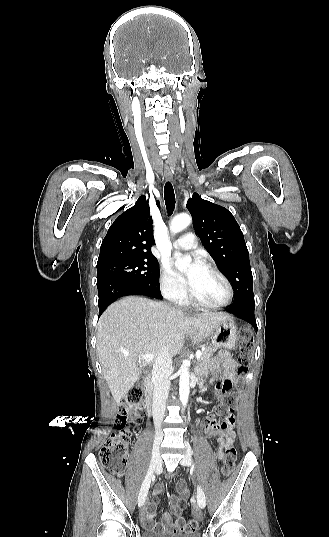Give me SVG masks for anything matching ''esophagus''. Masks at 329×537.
<instances>
[{
  "label": "esophagus",
  "mask_w": 329,
  "mask_h": 537,
  "mask_svg": "<svg viewBox=\"0 0 329 537\" xmlns=\"http://www.w3.org/2000/svg\"><path fill=\"white\" fill-rule=\"evenodd\" d=\"M164 177L166 181H172L173 179L172 173L170 172L168 168L165 169Z\"/></svg>",
  "instance_id": "1"
}]
</instances>
